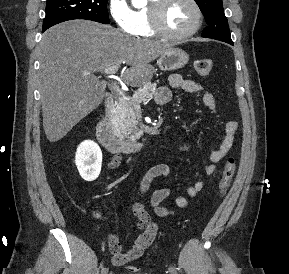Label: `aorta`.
Returning a JSON list of instances; mask_svg holds the SVG:
<instances>
[{
  "label": "aorta",
  "mask_w": 289,
  "mask_h": 274,
  "mask_svg": "<svg viewBox=\"0 0 289 274\" xmlns=\"http://www.w3.org/2000/svg\"><path fill=\"white\" fill-rule=\"evenodd\" d=\"M146 0H132V4L135 6V7H141L144 5Z\"/></svg>",
  "instance_id": "1"
}]
</instances>
